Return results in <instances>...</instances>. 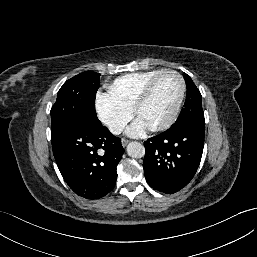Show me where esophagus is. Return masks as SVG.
Masks as SVG:
<instances>
[{"label":"esophagus","instance_id":"obj_1","mask_svg":"<svg viewBox=\"0 0 257 257\" xmlns=\"http://www.w3.org/2000/svg\"><path fill=\"white\" fill-rule=\"evenodd\" d=\"M129 142H130V141L127 140V139H122V140H121V144H122L123 147H126V145H127Z\"/></svg>","mask_w":257,"mask_h":257}]
</instances>
